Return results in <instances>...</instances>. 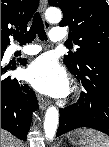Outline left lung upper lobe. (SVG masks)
I'll return each mask as SVG.
<instances>
[{"instance_id": "1", "label": "left lung upper lobe", "mask_w": 109, "mask_h": 147, "mask_svg": "<svg viewBox=\"0 0 109 147\" xmlns=\"http://www.w3.org/2000/svg\"><path fill=\"white\" fill-rule=\"evenodd\" d=\"M50 6L60 7V26L69 27L71 42L78 45L75 53L64 56V63L77 73L90 55L109 58V5L106 0H48Z\"/></svg>"}]
</instances>
